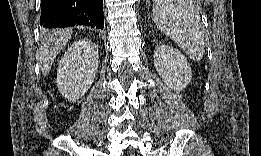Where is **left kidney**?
Masks as SVG:
<instances>
[{
	"mask_svg": "<svg viewBox=\"0 0 261 156\" xmlns=\"http://www.w3.org/2000/svg\"><path fill=\"white\" fill-rule=\"evenodd\" d=\"M154 65L166 85L174 90H183L192 79V71L186 57L168 45L155 49Z\"/></svg>",
	"mask_w": 261,
	"mask_h": 156,
	"instance_id": "1",
	"label": "left kidney"
}]
</instances>
